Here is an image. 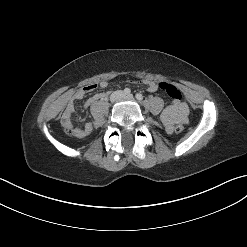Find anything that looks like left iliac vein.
Instances as JSON below:
<instances>
[{
    "label": "left iliac vein",
    "mask_w": 247,
    "mask_h": 247,
    "mask_svg": "<svg viewBox=\"0 0 247 247\" xmlns=\"http://www.w3.org/2000/svg\"><path fill=\"white\" fill-rule=\"evenodd\" d=\"M124 98L131 100V99H133V95L132 94L124 95Z\"/></svg>",
    "instance_id": "1"
}]
</instances>
